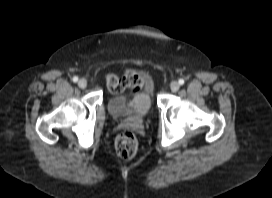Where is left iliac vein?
<instances>
[{
	"label": "left iliac vein",
	"mask_w": 272,
	"mask_h": 198,
	"mask_svg": "<svg viewBox=\"0 0 272 198\" xmlns=\"http://www.w3.org/2000/svg\"><path fill=\"white\" fill-rule=\"evenodd\" d=\"M179 87H180V86H179V83L176 82V81H173V82H171V84H170V89H171L173 92L178 91Z\"/></svg>",
	"instance_id": "1"
}]
</instances>
